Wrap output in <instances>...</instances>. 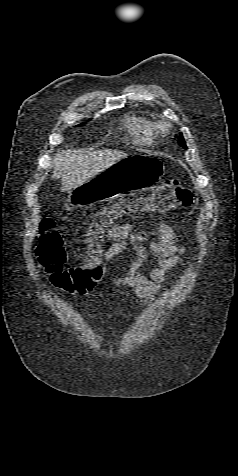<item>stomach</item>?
Masks as SVG:
<instances>
[{
  "label": "stomach",
  "instance_id": "0dacf381",
  "mask_svg": "<svg viewBox=\"0 0 238 476\" xmlns=\"http://www.w3.org/2000/svg\"><path fill=\"white\" fill-rule=\"evenodd\" d=\"M164 164L157 156H124L106 170L69 191L73 207H85L97 201L112 200L120 195H134L135 190H150L159 183Z\"/></svg>",
  "mask_w": 238,
  "mask_h": 476
}]
</instances>
